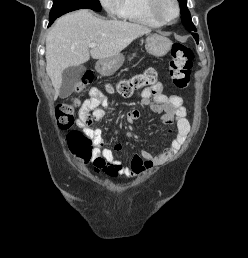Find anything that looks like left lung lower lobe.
Here are the masks:
<instances>
[{"mask_svg":"<svg viewBox=\"0 0 248 258\" xmlns=\"http://www.w3.org/2000/svg\"><path fill=\"white\" fill-rule=\"evenodd\" d=\"M192 35L194 36L195 40H196L197 43H198V39H199V38H198V35H197L196 33H193Z\"/></svg>","mask_w":248,"mask_h":258,"instance_id":"left-lung-lower-lobe-1","label":"left lung lower lobe"}]
</instances>
